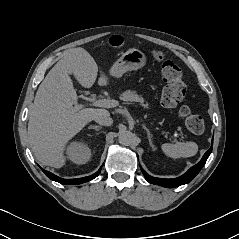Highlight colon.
Masks as SVG:
<instances>
[{"instance_id":"colon-1","label":"colon","mask_w":239,"mask_h":239,"mask_svg":"<svg viewBox=\"0 0 239 239\" xmlns=\"http://www.w3.org/2000/svg\"><path fill=\"white\" fill-rule=\"evenodd\" d=\"M123 40L120 36H113L109 44L114 47H120ZM152 56L160 61L164 58L160 51H153ZM161 75L165 82L162 90L161 103L166 108H176L186 93V85L183 81L180 67L171 60H165L162 64ZM178 114L183 118L187 129L193 134H201L205 129V122L202 116L193 113L187 106H181Z\"/></svg>"}]
</instances>
